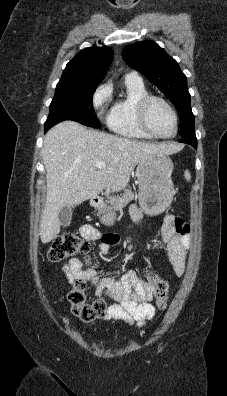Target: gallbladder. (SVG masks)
I'll return each mask as SVG.
<instances>
[{
	"label": "gallbladder",
	"instance_id": "bac80fb5",
	"mask_svg": "<svg viewBox=\"0 0 227 396\" xmlns=\"http://www.w3.org/2000/svg\"><path fill=\"white\" fill-rule=\"evenodd\" d=\"M72 218V210L69 206H62L59 211L60 224L63 227L69 226Z\"/></svg>",
	"mask_w": 227,
	"mask_h": 396
}]
</instances>
